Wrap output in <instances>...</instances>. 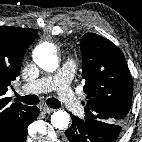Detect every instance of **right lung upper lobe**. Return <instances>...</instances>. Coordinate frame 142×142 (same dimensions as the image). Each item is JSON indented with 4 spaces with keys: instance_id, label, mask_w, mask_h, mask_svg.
<instances>
[{
    "instance_id": "right-lung-upper-lobe-1",
    "label": "right lung upper lobe",
    "mask_w": 142,
    "mask_h": 142,
    "mask_svg": "<svg viewBox=\"0 0 142 142\" xmlns=\"http://www.w3.org/2000/svg\"><path fill=\"white\" fill-rule=\"evenodd\" d=\"M38 36L36 29L0 27V141L6 138L29 106L10 104L5 96L11 81L20 74L27 48Z\"/></svg>"
}]
</instances>
